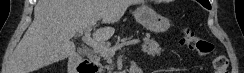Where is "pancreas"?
<instances>
[{"label":"pancreas","mask_w":244,"mask_h":73,"mask_svg":"<svg viewBox=\"0 0 244 73\" xmlns=\"http://www.w3.org/2000/svg\"><path fill=\"white\" fill-rule=\"evenodd\" d=\"M142 51L150 56H156V55L161 54L162 49L155 40L146 37V38H144V44L142 45ZM101 58H103L106 61V63L108 64L107 67H110V68L113 67L112 59H111L110 55H108L106 53H101V52L96 53L95 52L94 59L97 63H99ZM99 65L101 66V64H99Z\"/></svg>","instance_id":"1"}]
</instances>
